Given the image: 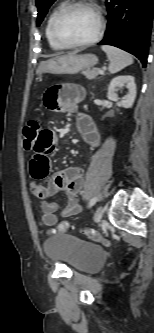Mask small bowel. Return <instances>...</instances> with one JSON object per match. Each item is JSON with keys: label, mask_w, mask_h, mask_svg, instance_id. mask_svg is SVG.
Returning a JSON list of instances; mask_svg holds the SVG:
<instances>
[{"label": "small bowel", "mask_w": 154, "mask_h": 333, "mask_svg": "<svg viewBox=\"0 0 154 333\" xmlns=\"http://www.w3.org/2000/svg\"><path fill=\"white\" fill-rule=\"evenodd\" d=\"M84 96L82 87L64 83L53 86L47 90L44 96L45 105L52 110L68 113L77 111L78 104ZM77 128L83 139L92 147L99 145V134L92 119L83 113L77 115ZM56 148V135L49 128H41L36 136L33 154L30 158V173L33 179L41 180L48 177L51 167L50 154ZM83 177L77 167L53 174L46 185L33 182L31 191L41 201L42 217L44 225L54 226L58 222L59 205L53 199V194L63 191L67 196V202L61 211V217H70L82 212L83 207L79 199V193L83 187Z\"/></svg>", "instance_id": "small-bowel-1"}]
</instances>
